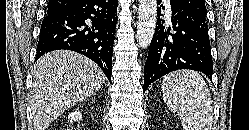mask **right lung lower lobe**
Returning <instances> with one entry per match:
<instances>
[{
  "instance_id": "right-lung-lower-lobe-1",
  "label": "right lung lower lobe",
  "mask_w": 249,
  "mask_h": 130,
  "mask_svg": "<svg viewBox=\"0 0 249 130\" xmlns=\"http://www.w3.org/2000/svg\"><path fill=\"white\" fill-rule=\"evenodd\" d=\"M117 0H79L42 22L36 60L53 50H72L96 62L111 82Z\"/></svg>"
}]
</instances>
